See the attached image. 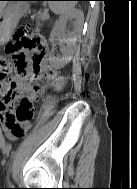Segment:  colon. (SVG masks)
I'll return each instance as SVG.
<instances>
[{
    "instance_id": "obj_1",
    "label": "colon",
    "mask_w": 137,
    "mask_h": 189,
    "mask_svg": "<svg viewBox=\"0 0 137 189\" xmlns=\"http://www.w3.org/2000/svg\"><path fill=\"white\" fill-rule=\"evenodd\" d=\"M24 51L32 53L30 59L25 57ZM6 52L7 57L0 56V95L4 93L14 68L30 79L38 78L41 74L48 78L53 73L50 66L41 70L43 58L47 53V44L45 39L38 34L29 33L25 29L18 30L7 45ZM35 113V106L27 99L22 100L16 109V117L19 119L28 115L35 116Z\"/></svg>"
}]
</instances>
